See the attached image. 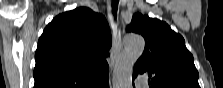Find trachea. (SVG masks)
I'll return each mask as SVG.
<instances>
[{"label": "trachea", "instance_id": "obj_1", "mask_svg": "<svg viewBox=\"0 0 223 88\" xmlns=\"http://www.w3.org/2000/svg\"><path fill=\"white\" fill-rule=\"evenodd\" d=\"M118 2H119L118 0H114L112 2V13L114 16H116V14H117Z\"/></svg>", "mask_w": 223, "mask_h": 88}]
</instances>
